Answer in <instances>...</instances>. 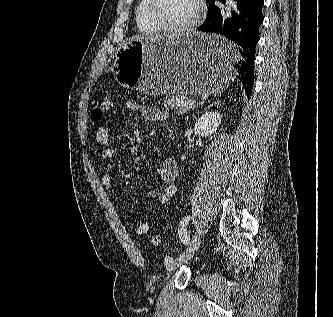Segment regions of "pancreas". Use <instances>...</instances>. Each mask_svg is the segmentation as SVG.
Segmentation results:
<instances>
[{"label":"pancreas","mask_w":333,"mask_h":317,"mask_svg":"<svg viewBox=\"0 0 333 317\" xmlns=\"http://www.w3.org/2000/svg\"><path fill=\"white\" fill-rule=\"evenodd\" d=\"M164 103L180 115L187 113L193 108L189 100L182 95H169L164 99Z\"/></svg>","instance_id":"pancreas-1"}]
</instances>
